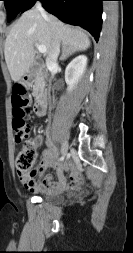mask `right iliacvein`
<instances>
[{
    "label": "right iliac vein",
    "mask_w": 133,
    "mask_h": 253,
    "mask_svg": "<svg viewBox=\"0 0 133 253\" xmlns=\"http://www.w3.org/2000/svg\"><path fill=\"white\" fill-rule=\"evenodd\" d=\"M68 149H69V145L67 142H64L63 145H62V148H61V153L63 156H65L68 152Z\"/></svg>",
    "instance_id": "obj_1"
}]
</instances>
